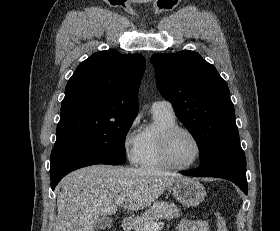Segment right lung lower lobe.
Instances as JSON below:
<instances>
[{
  "instance_id": "right-lung-lower-lobe-1",
  "label": "right lung lower lobe",
  "mask_w": 280,
  "mask_h": 231,
  "mask_svg": "<svg viewBox=\"0 0 280 231\" xmlns=\"http://www.w3.org/2000/svg\"><path fill=\"white\" fill-rule=\"evenodd\" d=\"M95 164L120 165L118 162L83 150L75 148H53L50 166L52 190L55 189L59 181L69 172Z\"/></svg>"
}]
</instances>
